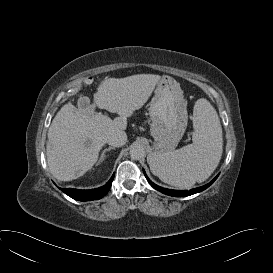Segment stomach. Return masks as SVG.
Masks as SVG:
<instances>
[{
	"label": "stomach",
	"mask_w": 273,
	"mask_h": 273,
	"mask_svg": "<svg viewBox=\"0 0 273 273\" xmlns=\"http://www.w3.org/2000/svg\"><path fill=\"white\" fill-rule=\"evenodd\" d=\"M155 152L174 150L187 127L188 114L180 84L170 76L157 83L149 108Z\"/></svg>",
	"instance_id": "1"
}]
</instances>
